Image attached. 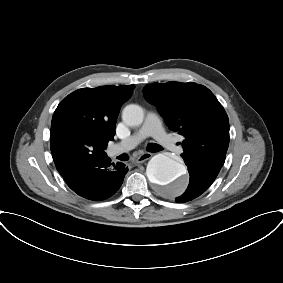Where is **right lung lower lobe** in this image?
I'll use <instances>...</instances> for the list:
<instances>
[{"label": "right lung lower lobe", "mask_w": 283, "mask_h": 283, "mask_svg": "<svg viewBox=\"0 0 283 283\" xmlns=\"http://www.w3.org/2000/svg\"><path fill=\"white\" fill-rule=\"evenodd\" d=\"M127 172L125 164L111 163L107 155H102L72 168L62 176L78 195L90 200H104L116 193Z\"/></svg>", "instance_id": "right-lung-lower-lobe-1"}]
</instances>
